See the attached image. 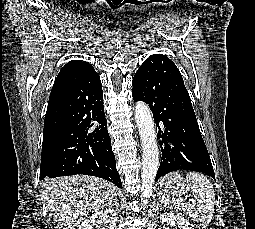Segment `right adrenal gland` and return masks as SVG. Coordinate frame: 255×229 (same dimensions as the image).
<instances>
[{"label":"right adrenal gland","instance_id":"2a0ac1e0","mask_svg":"<svg viewBox=\"0 0 255 229\" xmlns=\"http://www.w3.org/2000/svg\"><path fill=\"white\" fill-rule=\"evenodd\" d=\"M114 206H116L117 208L119 207V201L117 197L114 198V203L111 204V207H114Z\"/></svg>","mask_w":255,"mask_h":229}]
</instances>
